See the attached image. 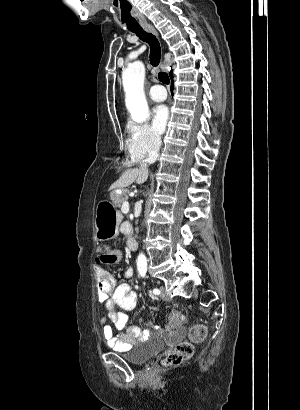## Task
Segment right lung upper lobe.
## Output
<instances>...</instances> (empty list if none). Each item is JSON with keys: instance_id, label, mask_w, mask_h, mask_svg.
Here are the masks:
<instances>
[{"instance_id": "obj_1", "label": "right lung upper lobe", "mask_w": 300, "mask_h": 410, "mask_svg": "<svg viewBox=\"0 0 300 410\" xmlns=\"http://www.w3.org/2000/svg\"><path fill=\"white\" fill-rule=\"evenodd\" d=\"M172 76V71L170 72V77Z\"/></svg>"}]
</instances>
